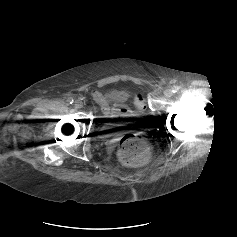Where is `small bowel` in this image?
Listing matches in <instances>:
<instances>
[{"label":"small bowel","mask_w":237,"mask_h":237,"mask_svg":"<svg viewBox=\"0 0 237 237\" xmlns=\"http://www.w3.org/2000/svg\"><path fill=\"white\" fill-rule=\"evenodd\" d=\"M92 96L100 105L105 119L115 120L132 115V111L123 104L128 96L126 92L114 91L109 94H102L94 91ZM134 104L138 111L144 109V101L141 96L135 98Z\"/></svg>","instance_id":"1"}]
</instances>
